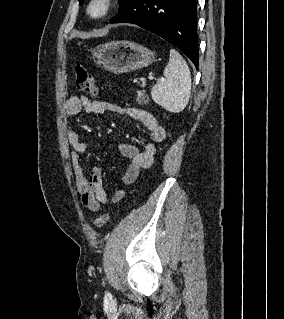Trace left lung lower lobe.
Here are the masks:
<instances>
[{
  "label": "left lung lower lobe",
  "instance_id": "1",
  "mask_svg": "<svg viewBox=\"0 0 284 319\" xmlns=\"http://www.w3.org/2000/svg\"><path fill=\"white\" fill-rule=\"evenodd\" d=\"M110 23H132L159 35L198 68L197 0H130Z\"/></svg>",
  "mask_w": 284,
  "mask_h": 319
}]
</instances>
